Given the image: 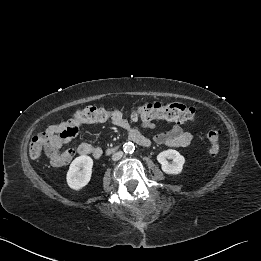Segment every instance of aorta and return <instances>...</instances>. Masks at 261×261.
Listing matches in <instances>:
<instances>
[{
  "label": "aorta",
  "instance_id": "762f6f07",
  "mask_svg": "<svg viewBox=\"0 0 261 261\" xmlns=\"http://www.w3.org/2000/svg\"><path fill=\"white\" fill-rule=\"evenodd\" d=\"M123 150L125 153L132 154L135 150V145L132 142L125 143L123 145Z\"/></svg>",
  "mask_w": 261,
  "mask_h": 261
}]
</instances>
